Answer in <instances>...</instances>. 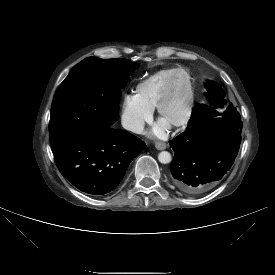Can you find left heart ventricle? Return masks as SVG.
<instances>
[{"mask_svg":"<svg viewBox=\"0 0 275 275\" xmlns=\"http://www.w3.org/2000/svg\"><path fill=\"white\" fill-rule=\"evenodd\" d=\"M187 96V81L183 73L175 76L172 94L164 108L163 122L168 124L181 117Z\"/></svg>","mask_w":275,"mask_h":275,"instance_id":"1","label":"left heart ventricle"}]
</instances>
